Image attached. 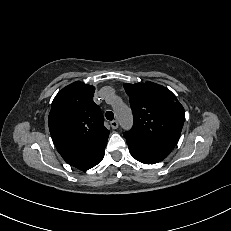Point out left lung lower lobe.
<instances>
[{
	"instance_id": "1",
	"label": "left lung lower lobe",
	"mask_w": 231,
	"mask_h": 231,
	"mask_svg": "<svg viewBox=\"0 0 231 231\" xmlns=\"http://www.w3.org/2000/svg\"><path fill=\"white\" fill-rule=\"evenodd\" d=\"M128 147H129V152L132 155V157L144 164H155L164 159L163 157H160V156L150 155V154L141 152L140 150L134 148L133 146L128 145Z\"/></svg>"
}]
</instances>
